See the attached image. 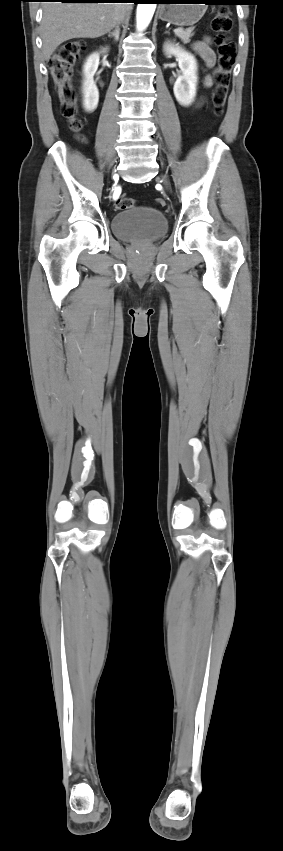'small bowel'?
<instances>
[{
    "label": "small bowel",
    "instance_id": "obj_1",
    "mask_svg": "<svg viewBox=\"0 0 283 851\" xmlns=\"http://www.w3.org/2000/svg\"><path fill=\"white\" fill-rule=\"evenodd\" d=\"M196 53L202 58L207 68L212 69L215 66L216 56L211 47L210 39L208 37L203 38L202 40L196 41L193 45ZM205 86L209 87L212 84V75H208L205 78L204 82Z\"/></svg>",
    "mask_w": 283,
    "mask_h": 851
}]
</instances>
